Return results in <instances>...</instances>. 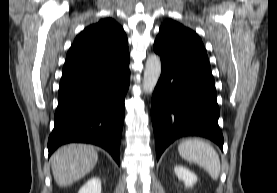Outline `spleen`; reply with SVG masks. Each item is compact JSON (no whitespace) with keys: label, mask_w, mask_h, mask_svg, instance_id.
<instances>
[{"label":"spleen","mask_w":277,"mask_h":193,"mask_svg":"<svg viewBox=\"0 0 277 193\" xmlns=\"http://www.w3.org/2000/svg\"><path fill=\"white\" fill-rule=\"evenodd\" d=\"M180 156L189 162L197 163L204 168L212 179L217 180L220 175V159L216 150L201 139H188L178 146Z\"/></svg>","instance_id":"1"}]
</instances>
